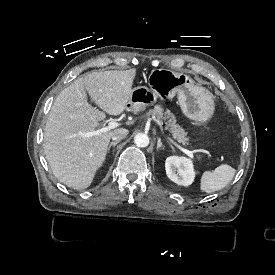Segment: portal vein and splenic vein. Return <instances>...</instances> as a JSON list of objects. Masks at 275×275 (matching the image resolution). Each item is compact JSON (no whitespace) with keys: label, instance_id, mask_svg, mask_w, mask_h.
Segmentation results:
<instances>
[{"label":"portal vein and splenic vein","instance_id":"18ae733b","mask_svg":"<svg viewBox=\"0 0 275 275\" xmlns=\"http://www.w3.org/2000/svg\"><path fill=\"white\" fill-rule=\"evenodd\" d=\"M119 126V123L117 122H114V121H111L108 123V126L106 127H103L101 129H98V130H94V131H91V132H86V133H81L82 136L84 137H93V136H98L104 132H107V131H110L112 129H115L116 127ZM177 147L185 154L189 155L190 157L192 158H195V155L192 154L191 151L187 150V149H184L182 148L181 146L177 145Z\"/></svg>","mask_w":275,"mask_h":275}]
</instances>
